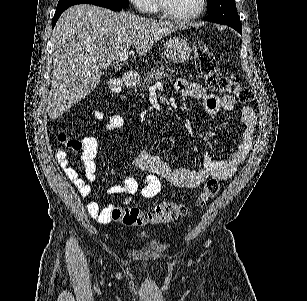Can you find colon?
Masks as SVG:
<instances>
[{"instance_id":"obj_1","label":"colon","mask_w":307,"mask_h":301,"mask_svg":"<svg viewBox=\"0 0 307 301\" xmlns=\"http://www.w3.org/2000/svg\"><path fill=\"white\" fill-rule=\"evenodd\" d=\"M194 62L198 75L210 89L219 93L233 94L243 104L253 101L254 94L249 87L217 72L216 58L212 49L205 42L198 41L194 44ZM108 86L112 94L118 93L121 89V83L116 79L109 81ZM93 114L96 118L102 117L99 110H95ZM59 141L73 151L82 148L81 140L71 138L65 133L60 134ZM219 188L218 180L214 178L207 180L197 199V205L203 206L214 198L218 194ZM187 212L188 208L184 204L167 201L161 202L147 211L136 207H114L111 218L126 226L141 227L147 224L170 223L185 216Z\"/></svg>"}]
</instances>
